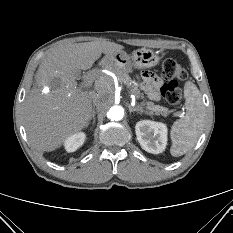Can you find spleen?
Segmentation results:
<instances>
[{
    "label": "spleen",
    "mask_w": 233,
    "mask_h": 233,
    "mask_svg": "<svg viewBox=\"0 0 233 233\" xmlns=\"http://www.w3.org/2000/svg\"><path fill=\"white\" fill-rule=\"evenodd\" d=\"M186 114L172 125L171 155L178 157L195 146L204 126L205 112L202 96L195 84L188 81L184 87Z\"/></svg>",
    "instance_id": "obj_1"
}]
</instances>
